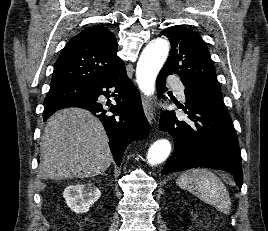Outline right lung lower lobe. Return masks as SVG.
Returning a JSON list of instances; mask_svg holds the SVG:
<instances>
[{"label": "right lung lower lobe", "instance_id": "obj_1", "mask_svg": "<svg viewBox=\"0 0 268 231\" xmlns=\"http://www.w3.org/2000/svg\"><path fill=\"white\" fill-rule=\"evenodd\" d=\"M104 88L106 91H103ZM109 88H113L116 92L115 105L102 104L98 101L100 95L110 96ZM65 107L84 108L99 118L110 139L109 146L118 166L127 145L134 140L146 139L149 135V124L142 109L140 94L128 78L124 63L92 83L88 87L86 97L44 108V121Z\"/></svg>", "mask_w": 268, "mask_h": 231}]
</instances>
